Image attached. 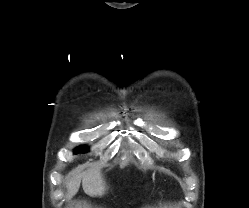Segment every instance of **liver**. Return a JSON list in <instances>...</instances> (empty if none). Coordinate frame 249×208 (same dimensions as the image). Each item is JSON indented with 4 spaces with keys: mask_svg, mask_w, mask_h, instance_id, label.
<instances>
[{
    "mask_svg": "<svg viewBox=\"0 0 249 208\" xmlns=\"http://www.w3.org/2000/svg\"><path fill=\"white\" fill-rule=\"evenodd\" d=\"M84 192L92 197L102 196L105 193V181L98 167H91L86 171L75 172L66 180L67 198L71 199L77 194L80 184Z\"/></svg>",
    "mask_w": 249,
    "mask_h": 208,
    "instance_id": "obj_1",
    "label": "liver"
}]
</instances>
